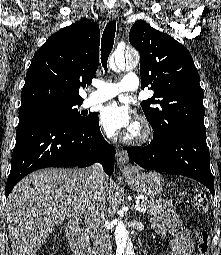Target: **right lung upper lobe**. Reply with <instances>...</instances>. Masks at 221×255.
Wrapping results in <instances>:
<instances>
[{
  "label": "right lung upper lobe",
  "mask_w": 221,
  "mask_h": 255,
  "mask_svg": "<svg viewBox=\"0 0 221 255\" xmlns=\"http://www.w3.org/2000/svg\"><path fill=\"white\" fill-rule=\"evenodd\" d=\"M100 29L86 18L51 35L35 53L21 92V107L83 102L80 86L95 77Z\"/></svg>",
  "instance_id": "cb5924a9"
}]
</instances>
